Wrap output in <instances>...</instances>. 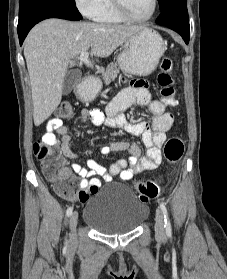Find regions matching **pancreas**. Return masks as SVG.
<instances>
[{"label":"pancreas","mask_w":227,"mask_h":279,"mask_svg":"<svg viewBox=\"0 0 227 279\" xmlns=\"http://www.w3.org/2000/svg\"><path fill=\"white\" fill-rule=\"evenodd\" d=\"M119 73V69L117 65L114 63H110L105 70L102 71V77L104 79L105 84H109L112 80L117 77Z\"/></svg>","instance_id":"obj_1"}]
</instances>
